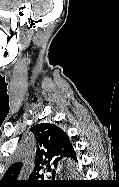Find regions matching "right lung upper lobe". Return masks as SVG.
<instances>
[{
    "instance_id": "1",
    "label": "right lung upper lobe",
    "mask_w": 119,
    "mask_h": 187,
    "mask_svg": "<svg viewBox=\"0 0 119 187\" xmlns=\"http://www.w3.org/2000/svg\"><path fill=\"white\" fill-rule=\"evenodd\" d=\"M31 131L35 133L38 142L35 168L37 173L41 174V169L49 163L73 157V147L68 136L56 125L39 124L34 126ZM19 170L20 165L15 164L9 168L5 176L15 179Z\"/></svg>"
}]
</instances>
